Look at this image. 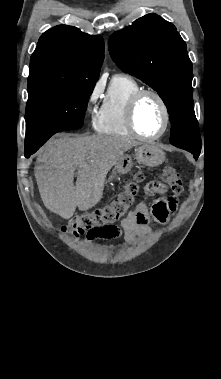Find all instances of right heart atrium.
<instances>
[{
    "label": "right heart atrium",
    "instance_id": "d8ad5b80",
    "mask_svg": "<svg viewBox=\"0 0 221 379\" xmlns=\"http://www.w3.org/2000/svg\"><path fill=\"white\" fill-rule=\"evenodd\" d=\"M102 90H103L102 84L97 83L89 92L86 99V110L88 112H91L94 106L96 105V103L98 102L99 98L101 97Z\"/></svg>",
    "mask_w": 221,
    "mask_h": 379
}]
</instances>
